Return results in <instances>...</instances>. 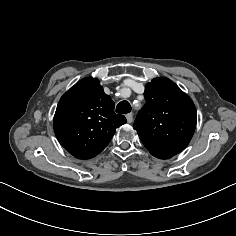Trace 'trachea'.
<instances>
[{
  "mask_svg": "<svg viewBox=\"0 0 236 236\" xmlns=\"http://www.w3.org/2000/svg\"><path fill=\"white\" fill-rule=\"evenodd\" d=\"M131 111V105L128 101H121L117 107L116 112L119 114H126Z\"/></svg>",
  "mask_w": 236,
  "mask_h": 236,
  "instance_id": "obj_1",
  "label": "trachea"
}]
</instances>
